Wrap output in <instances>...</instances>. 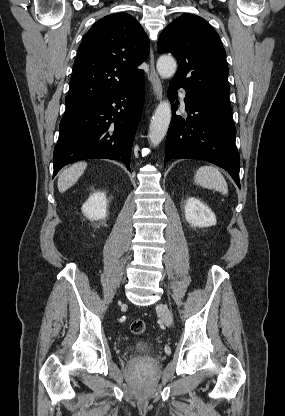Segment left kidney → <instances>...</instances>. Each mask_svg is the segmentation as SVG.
I'll return each instance as SVG.
<instances>
[{
    "mask_svg": "<svg viewBox=\"0 0 285 416\" xmlns=\"http://www.w3.org/2000/svg\"><path fill=\"white\" fill-rule=\"evenodd\" d=\"M184 212L187 222L194 228H209L217 222L214 212L196 198H188Z\"/></svg>",
    "mask_w": 285,
    "mask_h": 416,
    "instance_id": "1",
    "label": "left kidney"
}]
</instances>
